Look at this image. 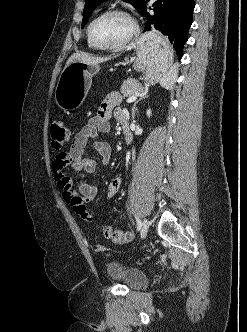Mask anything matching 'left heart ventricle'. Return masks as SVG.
<instances>
[{
  "instance_id": "1",
  "label": "left heart ventricle",
  "mask_w": 247,
  "mask_h": 332,
  "mask_svg": "<svg viewBox=\"0 0 247 332\" xmlns=\"http://www.w3.org/2000/svg\"><path fill=\"white\" fill-rule=\"evenodd\" d=\"M131 30L129 20L121 15H108L93 26L94 39L102 45H113L122 41Z\"/></svg>"
}]
</instances>
